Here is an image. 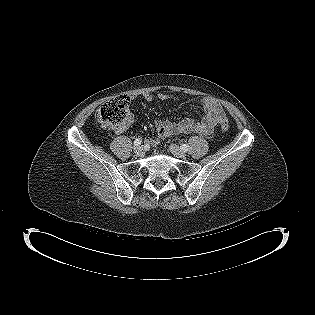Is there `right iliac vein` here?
Masks as SVG:
<instances>
[{
	"label": "right iliac vein",
	"mask_w": 315,
	"mask_h": 315,
	"mask_svg": "<svg viewBox=\"0 0 315 315\" xmlns=\"http://www.w3.org/2000/svg\"><path fill=\"white\" fill-rule=\"evenodd\" d=\"M134 153H135L136 155H138V156L143 155V153H144L143 147H141V146L135 147V148H134Z\"/></svg>",
	"instance_id": "right-iliac-vein-1"
}]
</instances>
